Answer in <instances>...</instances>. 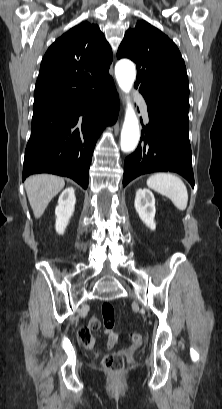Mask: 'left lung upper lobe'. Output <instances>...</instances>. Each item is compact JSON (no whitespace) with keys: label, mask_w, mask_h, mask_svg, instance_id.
<instances>
[{"label":"left lung upper lobe","mask_w":222,"mask_h":409,"mask_svg":"<svg viewBox=\"0 0 222 409\" xmlns=\"http://www.w3.org/2000/svg\"><path fill=\"white\" fill-rule=\"evenodd\" d=\"M130 58L137 66L135 88L145 100L167 102L182 99L189 106V83L185 63L172 40L146 21L129 29L117 58Z\"/></svg>","instance_id":"1"}]
</instances>
